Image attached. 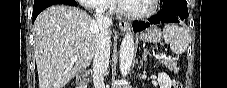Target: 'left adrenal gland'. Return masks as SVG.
Here are the masks:
<instances>
[{"label":"left adrenal gland","mask_w":227,"mask_h":88,"mask_svg":"<svg viewBox=\"0 0 227 88\" xmlns=\"http://www.w3.org/2000/svg\"><path fill=\"white\" fill-rule=\"evenodd\" d=\"M148 54H149V51L147 49H144L143 55H142V63L147 60Z\"/></svg>","instance_id":"1"}]
</instances>
